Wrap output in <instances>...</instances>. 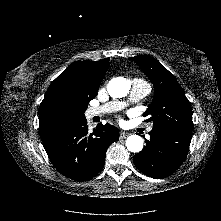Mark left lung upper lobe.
Listing matches in <instances>:
<instances>
[{
  "instance_id": "obj_1",
  "label": "left lung upper lobe",
  "mask_w": 221,
  "mask_h": 221,
  "mask_svg": "<svg viewBox=\"0 0 221 221\" xmlns=\"http://www.w3.org/2000/svg\"><path fill=\"white\" fill-rule=\"evenodd\" d=\"M152 81L155 95L144 113L153 121V128L170 129L192 133V111L190 102L174 75L150 56L131 57Z\"/></svg>"
}]
</instances>
